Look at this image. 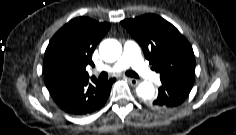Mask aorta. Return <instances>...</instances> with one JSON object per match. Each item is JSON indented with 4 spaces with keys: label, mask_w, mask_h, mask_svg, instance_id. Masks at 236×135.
Here are the masks:
<instances>
[{
    "label": "aorta",
    "mask_w": 236,
    "mask_h": 135,
    "mask_svg": "<svg viewBox=\"0 0 236 135\" xmlns=\"http://www.w3.org/2000/svg\"><path fill=\"white\" fill-rule=\"evenodd\" d=\"M99 51L103 60L114 62L121 56L122 46L117 40L106 39L101 42ZM136 93L139 97L150 100L154 97L155 89L151 82L143 81L137 86Z\"/></svg>",
    "instance_id": "1"
}]
</instances>
